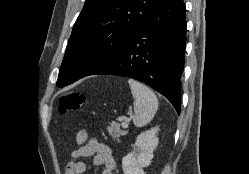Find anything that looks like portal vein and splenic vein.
<instances>
[{
    "mask_svg": "<svg viewBox=\"0 0 249 174\" xmlns=\"http://www.w3.org/2000/svg\"><path fill=\"white\" fill-rule=\"evenodd\" d=\"M120 122H122V126L124 128H127L128 127V121L129 119L127 117H119L118 119Z\"/></svg>",
    "mask_w": 249,
    "mask_h": 174,
    "instance_id": "1",
    "label": "portal vein and splenic vein"
}]
</instances>
